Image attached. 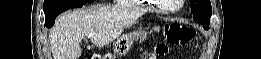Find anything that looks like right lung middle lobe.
I'll list each match as a JSON object with an SVG mask.
<instances>
[{
  "label": "right lung middle lobe",
  "mask_w": 261,
  "mask_h": 59,
  "mask_svg": "<svg viewBox=\"0 0 261 59\" xmlns=\"http://www.w3.org/2000/svg\"><path fill=\"white\" fill-rule=\"evenodd\" d=\"M94 0H44V14L50 16L53 13H56L65 6L72 4H86L91 3Z\"/></svg>",
  "instance_id": "right-lung-middle-lobe-1"
}]
</instances>
